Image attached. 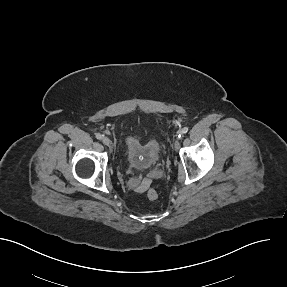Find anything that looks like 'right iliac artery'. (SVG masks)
<instances>
[{
    "label": "right iliac artery",
    "mask_w": 287,
    "mask_h": 287,
    "mask_svg": "<svg viewBox=\"0 0 287 287\" xmlns=\"http://www.w3.org/2000/svg\"><path fill=\"white\" fill-rule=\"evenodd\" d=\"M102 137H103V135H101L100 133H97V134H96V138H97V139H102Z\"/></svg>",
    "instance_id": "82829eb1"
}]
</instances>
